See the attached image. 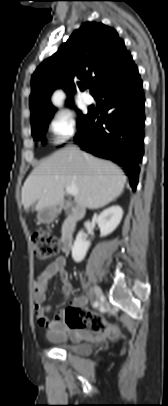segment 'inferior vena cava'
<instances>
[{
    "label": "inferior vena cava",
    "instance_id": "inferior-vena-cava-1",
    "mask_svg": "<svg viewBox=\"0 0 168 406\" xmlns=\"http://www.w3.org/2000/svg\"><path fill=\"white\" fill-rule=\"evenodd\" d=\"M73 148L79 150L77 147H73Z\"/></svg>",
    "mask_w": 168,
    "mask_h": 406
}]
</instances>
